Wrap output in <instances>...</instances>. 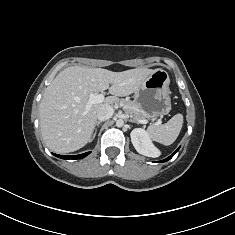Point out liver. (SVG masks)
Returning <instances> with one entry per match:
<instances>
[{
    "instance_id": "6515ba94",
    "label": "liver",
    "mask_w": 235,
    "mask_h": 235,
    "mask_svg": "<svg viewBox=\"0 0 235 235\" xmlns=\"http://www.w3.org/2000/svg\"><path fill=\"white\" fill-rule=\"evenodd\" d=\"M156 70L159 69L113 72L82 66L65 68L46 88L39 106L41 133L48 148L69 153L85 146L91 140L98 110L104 105L111 106L118 97L134 93ZM107 89L113 96L92 104L85 113L89 95Z\"/></svg>"
}]
</instances>
